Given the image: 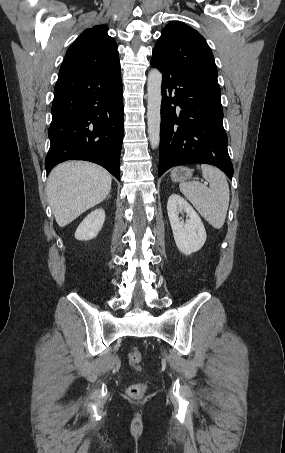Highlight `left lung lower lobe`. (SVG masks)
<instances>
[{"mask_svg":"<svg viewBox=\"0 0 285 453\" xmlns=\"http://www.w3.org/2000/svg\"><path fill=\"white\" fill-rule=\"evenodd\" d=\"M151 65L163 75L159 176L173 166L205 163L232 178L220 90L155 55Z\"/></svg>","mask_w":285,"mask_h":453,"instance_id":"0a47b994","label":"left lung lower lobe"}]
</instances>
